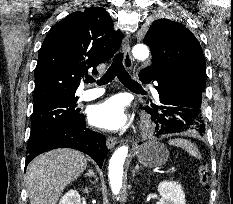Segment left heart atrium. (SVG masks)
I'll use <instances>...</instances> for the list:
<instances>
[{
    "label": "left heart atrium",
    "instance_id": "1",
    "mask_svg": "<svg viewBox=\"0 0 233 204\" xmlns=\"http://www.w3.org/2000/svg\"><path fill=\"white\" fill-rule=\"evenodd\" d=\"M89 122L98 128L115 131L127 123V112L124 101L117 96L94 105L88 115Z\"/></svg>",
    "mask_w": 233,
    "mask_h": 204
}]
</instances>
